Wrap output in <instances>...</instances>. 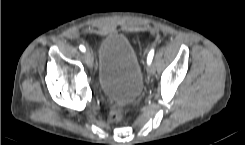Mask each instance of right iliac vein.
I'll return each mask as SVG.
<instances>
[{"mask_svg":"<svg viewBox=\"0 0 245 145\" xmlns=\"http://www.w3.org/2000/svg\"><path fill=\"white\" fill-rule=\"evenodd\" d=\"M85 56H86L88 66L92 68L93 67V55L90 52H86Z\"/></svg>","mask_w":245,"mask_h":145,"instance_id":"1","label":"right iliac vein"}]
</instances>
